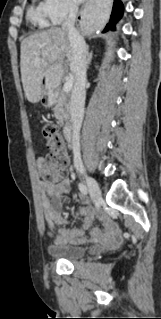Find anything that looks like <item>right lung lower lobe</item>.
Masks as SVG:
<instances>
[{"mask_svg":"<svg viewBox=\"0 0 161 319\" xmlns=\"http://www.w3.org/2000/svg\"><path fill=\"white\" fill-rule=\"evenodd\" d=\"M122 14H123L122 2L120 0H115L111 18L109 20V23L105 27L104 32L107 30H114L115 23L117 22V20H119L122 17Z\"/></svg>","mask_w":161,"mask_h":319,"instance_id":"98d812e1","label":"right lung lower lobe"}]
</instances>
